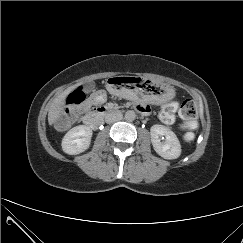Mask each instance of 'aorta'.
I'll use <instances>...</instances> for the list:
<instances>
[{"mask_svg": "<svg viewBox=\"0 0 243 243\" xmlns=\"http://www.w3.org/2000/svg\"><path fill=\"white\" fill-rule=\"evenodd\" d=\"M135 118H136V113L133 110L126 111V113H125V120L126 121L131 122V121H134Z\"/></svg>", "mask_w": 243, "mask_h": 243, "instance_id": "1", "label": "aorta"}]
</instances>
